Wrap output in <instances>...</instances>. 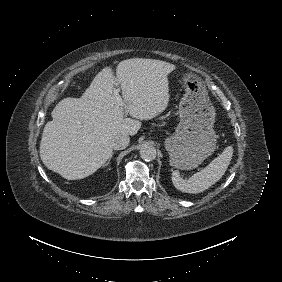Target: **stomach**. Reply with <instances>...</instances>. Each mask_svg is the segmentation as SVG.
Returning <instances> with one entry per match:
<instances>
[{
    "mask_svg": "<svg viewBox=\"0 0 282 282\" xmlns=\"http://www.w3.org/2000/svg\"><path fill=\"white\" fill-rule=\"evenodd\" d=\"M185 88L179 106L180 122L174 134L166 140L171 164L179 169L197 167L216 148L214 131L216 111L204 80L191 73L180 77Z\"/></svg>",
    "mask_w": 282,
    "mask_h": 282,
    "instance_id": "0dacf381",
    "label": "stomach"
}]
</instances>
